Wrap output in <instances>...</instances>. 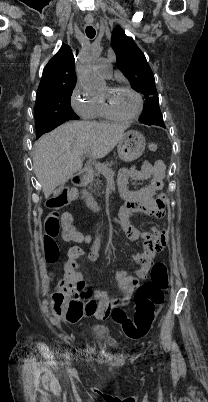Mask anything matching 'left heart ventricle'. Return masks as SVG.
Returning <instances> with one entry per match:
<instances>
[{
	"label": "left heart ventricle",
	"instance_id": "b2bd125f",
	"mask_svg": "<svg viewBox=\"0 0 208 402\" xmlns=\"http://www.w3.org/2000/svg\"><path fill=\"white\" fill-rule=\"evenodd\" d=\"M104 90L105 86L98 92V95L103 93ZM110 100L113 109L123 116L132 115L138 107V100L136 96L126 90L120 89L115 91Z\"/></svg>",
	"mask_w": 208,
	"mask_h": 402
}]
</instances>
